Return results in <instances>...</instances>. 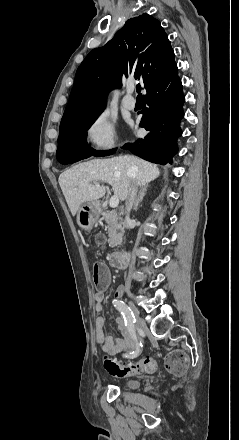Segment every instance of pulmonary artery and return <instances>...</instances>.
Returning a JSON list of instances; mask_svg holds the SVG:
<instances>
[{
	"label": "pulmonary artery",
	"mask_w": 239,
	"mask_h": 440,
	"mask_svg": "<svg viewBox=\"0 0 239 440\" xmlns=\"http://www.w3.org/2000/svg\"><path fill=\"white\" fill-rule=\"evenodd\" d=\"M135 91V87L133 84H129L127 86L126 95L121 99V105L128 110H132L135 107V102L130 101L129 98L132 97L133 93Z\"/></svg>",
	"instance_id": "e3ab8cb5"
}]
</instances>
